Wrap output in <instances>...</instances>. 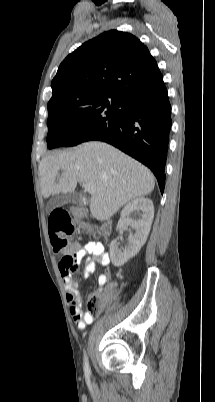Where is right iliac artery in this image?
<instances>
[{
    "label": "right iliac artery",
    "mask_w": 215,
    "mask_h": 402,
    "mask_svg": "<svg viewBox=\"0 0 215 402\" xmlns=\"http://www.w3.org/2000/svg\"><path fill=\"white\" fill-rule=\"evenodd\" d=\"M84 372H85L86 376H89L91 374V370L89 367V362H88V358H87L86 354L84 356Z\"/></svg>",
    "instance_id": "obj_1"
}]
</instances>
